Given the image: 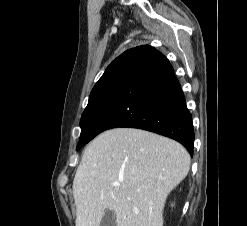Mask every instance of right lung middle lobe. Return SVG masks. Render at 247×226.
Instances as JSON below:
<instances>
[{
    "label": "right lung middle lobe",
    "instance_id": "right-lung-middle-lobe-1",
    "mask_svg": "<svg viewBox=\"0 0 247 226\" xmlns=\"http://www.w3.org/2000/svg\"><path fill=\"white\" fill-rule=\"evenodd\" d=\"M124 65L125 61H119L106 70L91 91L88 105L80 120L81 135L77 144V150L91 138L93 128L115 89Z\"/></svg>",
    "mask_w": 247,
    "mask_h": 226
}]
</instances>
